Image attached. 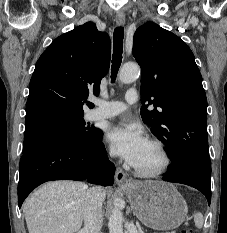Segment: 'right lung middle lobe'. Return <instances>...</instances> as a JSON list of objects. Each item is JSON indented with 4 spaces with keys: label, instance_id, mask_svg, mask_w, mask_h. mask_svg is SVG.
<instances>
[{
    "label": "right lung middle lobe",
    "instance_id": "right-lung-middle-lobe-1",
    "mask_svg": "<svg viewBox=\"0 0 227 233\" xmlns=\"http://www.w3.org/2000/svg\"><path fill=\"white\" fill-rule=\"evenodd\" d=\"M98 129L87 126L83 117L50 129L25 135L23 153L49 144H83L94 139Z\"/></svg>",
    "mask_w": 227,
    "mask_h": 233
}]
</instances>
